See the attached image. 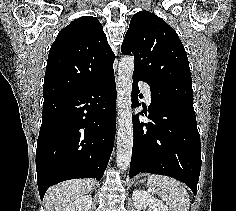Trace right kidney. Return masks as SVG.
<instances>
[{
    "instance_id": "obj_1",
    "label": "right kidney",
    "mask_w": 236,
    "mask_h": 211,
    "mask_svg": "<svg viewBox=\"0 0 236 211\" xmlns=\"http://www.w3.org/2000/svg\"><path fill=\"white\" fill-rule=\"evenodd\" d=\"M92 205V196L84 195L69 205L63 211H89Z\"/></svg>"
}]
</instances>
